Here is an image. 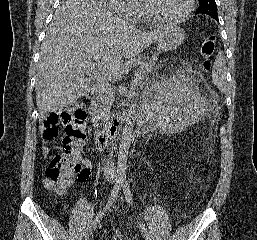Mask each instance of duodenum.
I'll list each match as a JSON object with an SVG mask.
<instances>
[{"label":"duodenum","mask_w":257,"mask_h":240,"mask_svg":"<svg viewBox=\"0 0 257 240\" xmlns=\"http://www.w3.org/2000/svg\"><path fill=\"white\" fill-rule=\"evenodd\" d=\"M94 95L95 89L93 87L87 88V90L85 91V97L91 99L94 97ZM124 116L125 115L123 113H118L105 124L102 130L96 133L94 138L96 147L102 149L109 147L113 144L119 133L120 123L123 120Z\"/></svg>","instance_id":"duodenum-1"}]
</instances>
